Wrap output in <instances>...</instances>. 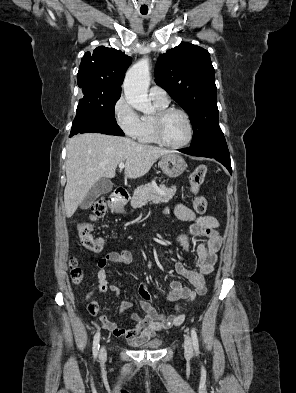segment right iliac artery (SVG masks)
I'll use <instances>...</instances> for the list:
<instances>
[{"instance_id":"82829eb1","label":"right iliac artery","mask_w":296,"mask_h":393,"mask_svg":"<svg viewBox=\"0 0 296 393\" xmlns=\"http://www.w3.org/2000/svg\"><path fill=\"white\" fill-rule=\"evenodd\" d=\"M99 340H100V333L97 332L94 336V339H93V356H94V358L97 357L98 352H99V347H100Z\"/></svg>"}]
</instances>
